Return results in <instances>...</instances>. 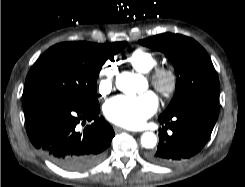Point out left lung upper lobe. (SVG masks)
<instances>
[{"mask_svg": "<svg viewBox=\"0 0 245 187\" xmlns=\"http://www.w3.org/2000/svg\"><path fill=\"white\" fill-rule=\"evenodd\" d=\"M139 43L165 53L175 68V95L160 116H171L197 103L218 101V76L207 52L195 40L180 34L164 33Z\"/></svg>", "mask_w": 245, "mask_h": 187, "instance_id": "left-lung-upper-lobe-1", "label": "left lung upper lobe"}]
</instances>
